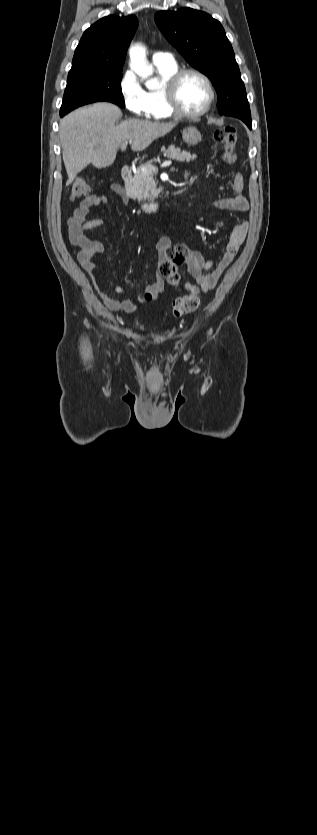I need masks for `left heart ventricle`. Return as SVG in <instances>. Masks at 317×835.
<instances>
[{"label":"left heart ventricle","mask_w":317,"mask_h":835,"mask_svg":"<svg viewBox=\"0 0 317 835\" xmlns=\"http://www.w3.org/2000/svg\"><path fill=\"white\" fill-rule=\"evenodd\" d=\"M209 92L205 82L198 76L190 74L181 81L178 99L185 112L200 111L208 100Z\"/></svg>","instance_id":"obj_1"}]
</instances>
